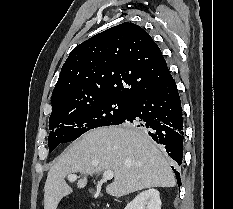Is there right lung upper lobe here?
<instances>
[{"mask_svg": "<svg viewBox=\"0 0 233 209\" xmlns=\"http://www.w3.org/2000/svg\"><path fill=\"white\" fill-rule=\"evenodd\" d=\"M170 75L151 36L140 26L125 22L73 49L53 90L51 114L109 98L132 101Z\"/></svg>", "mask_w": 233, "mask_h": 209, "instance_id": "obj_1", "label": "right lung upper lobe"}]
</instances>
